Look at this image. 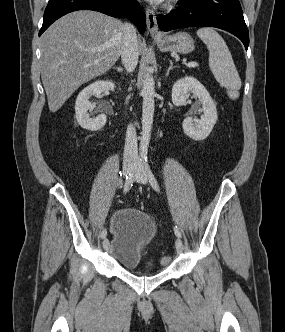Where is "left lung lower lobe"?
Here are the masks:
<instances>
[{
    "label": "left lung lower lobe",
    "mask_w": 285,
    "mask_h": 332,
    "mask_svg": "<svg viewBox=\"0 0 285 332\" xmlns=\"http://www.w3.org/2000/svg\"><path fill=\"white\" fill-rule=\"evenodd\" d=\"M160 29L212 26L237 36L249 45V33L239 0H182L178 10L157 17Z\"/></svg>",
    "instance_id": "left-lung-lower-lobe-1"
}]
</instances>
